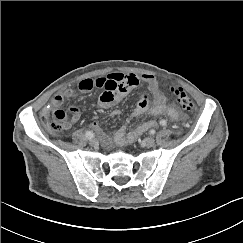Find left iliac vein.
I'll return each mask as SVG.
<instances>
[{"mask_svg": "<svg viewBox=\"0 0 243 243\" xmlns=\"http://www.w3.org/2000/svg\"><path fill=\"white\" fill-rule=\"evenodd\" d=\"M142 145L145 147H153L155 145V139L152 137L144 138L142 141Z\"/></svg>", "mask_w": 243, "mask_h": 243, "instance_id": "4c4485c4", "label": "left iliac vein"}]
</instances>
